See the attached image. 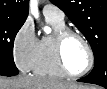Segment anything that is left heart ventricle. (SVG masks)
<instances>
[{
    "label": "left heart ventricle",
    "mask_w": 107,
    "mask_h": 89,
    "mask_svg": "<svg viewBox=\"0 0 107 89\" xmlns=\"http://www.w3.org/2000/svg\"><path fill=\"white\" fill-rule=\"evenodd\" d=\"M64 60L72 73L82 72L88 65L89 55L84 43L77 37H69L64 44Z\"/></svg>",
    "instance_id": "1"
}]
</instances>
